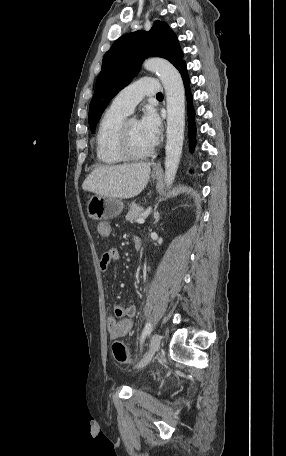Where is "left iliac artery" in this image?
<instances>
[{
  "instance_id": "obj_1",
  "label": "left iliac artery",
  "mask_w": 286,
  "mask_h": 456,
  "mask_svg": "<svg viewBox=\"0 0 286 456\" xmlns=\"http://www.w3.org/2000/svg\"><path fill=\"white\" fill-rule=\"evenodd\" d=\"M152 331V325L150 322H147L141 336V344L143 343L144 339L146 338L147 335H149Z\"/></svg>"
}]
</instances>
